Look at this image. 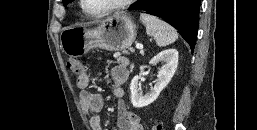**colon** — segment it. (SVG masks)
Masks as SVG:
<instances>
[{
  "label": "colon",
  "instance_id": "5ec220e1",
  "mask_svg": "<svg viewBox=\"0 0 257 130\" xmlns=\"http://www.w3.org/2000/svg\"><path fill=\"white\" fill-rule=\"evenodd\" d=\"M67 67L70 69L74 74L81 75L86 72L85 64L76 58H69L67 60ZM161 125L159 123H154L152 126V130H161Z\"/></svg>",
  "mask_w": 257,
  "mask_h": 130
}]
</instances>
